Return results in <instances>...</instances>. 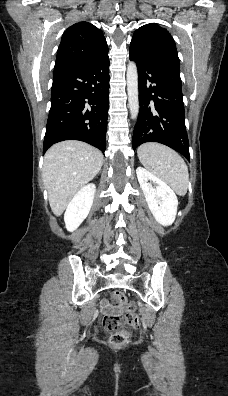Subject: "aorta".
<instances>
[{"label": "aorta", "instance_id": "1", "mask_svg": "<svg viewBox=\"0 0 228 396\" xmlns=\"http://www.w3.org/2000/svg\"><path fill=\"white\" fill-rule=\"evenodd\" d=\"M127 93L128 105L132 119H137L139 114L138 72L134 62H129L127 67Z\"/></svg>", "mask_w": 228, "mask_h": 396}]
</instances>
